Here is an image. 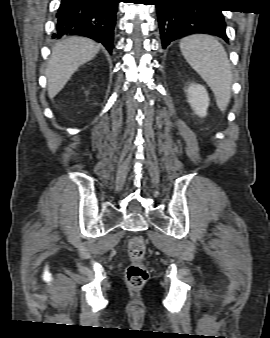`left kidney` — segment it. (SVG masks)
I'll return each instance as SVG.
<instances>
[{
    "label": "left kidney",
    "mask_w": 270,
    "mask_h": 338,
    "mask_svg": "<svg viewBox=\"0 0 270 338\" xmlns=\"http://www.w3.org/2000/svg\"><path fill=\"white\" fill-rule=\"evenodd\" d=\"M187 96L188 102L194 112L200 117L206 116L210 99L205 87L193 83L188 88Z\"/></svg>",
    "instance_id": "1"
}]
</instances>
